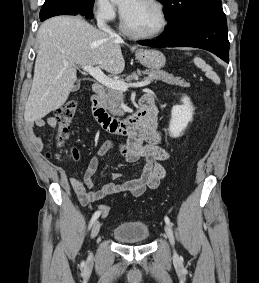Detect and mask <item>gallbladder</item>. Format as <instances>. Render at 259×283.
Returning a JSON list of instances; mask_svg holds the SVG:
<instances>
[{
    "mask_svg": "<svg viewBox=\"0 0 259 283\" xmlns=\"http://www.w3.org/2000/svg\"><path fill=\"white\" fill-rule=\"evenodd\" d=\"M79 87H80L79 83H77L76 85L73 86L71 91L76 92V91H78Z\"/></svg>",
    "mask_w": 259,
    "mask_h": 283,
    "instance_id": "1",
    "label": "gallbladder"
}]
</instances>
